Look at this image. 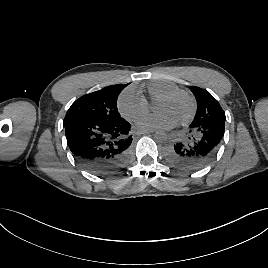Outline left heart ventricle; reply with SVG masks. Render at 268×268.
<instances>
[{
	"mask_svg": "<svg viewBox=\"0 0 268 268\" xmlns=\"http://www.w3.org/2000/svg\"><path fill=\"white\" fill-rule=\"evenodd\" d=\"M189 101L183 96H177L172 100L155 104L154 111L157 114H163L175 122L182 120L189 112Z\"/></svg>",
	"mask_w": 268,
	"mask_h": 268,
	"instance_id": "1",
	"label": "left heart ventricle"
}]
</instances>
